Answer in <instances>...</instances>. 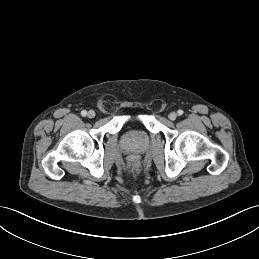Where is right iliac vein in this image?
<instances>
[{
  "label": "right iliac vein",
  "mask_w": 259,
  "mask_h": 259,
  "mask_svg": "<svg viewBox=\"0 0 259 259\" xmlns=\"http://www.w3.org/2000/svg\"><path fill=\"white\" fill-rule=\"evenodd\" d=\"M87 115H88L89 118L92 119V118L95 117L96 114H95V112L93 110H90Z\"/></svg>",
  "instance_id": "obj_1"
}]
</instances>
